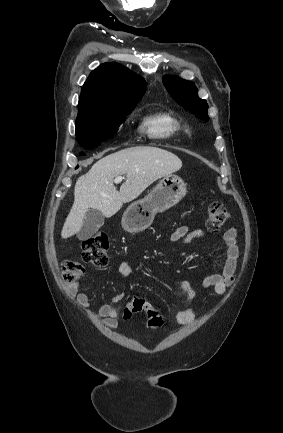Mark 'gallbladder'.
Listing matches in <instances>:
<instances>
[{
    "mask_svg": "<svg viewBox=\"0 0 283 433\" xmlns=\"http://www.w3.org/2000/svg\"><path fill=\"white\" fill-rule=\"evenodd\" d=\"M104 214L98 208H89L83 219L82 229L77 233L79 241H86L97 233L98 229L104 225Z\"/></svg>",
    "mask_w": 283,
    "mask_h": 433,
    "instance_id": "obj_1",
    "label": "gallbladder"
}]
</instances>
